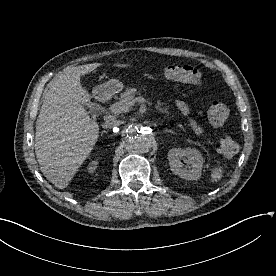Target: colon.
<instances>
[{
    "mask_svg": "<svg viewBox=\"0 0 276 276\" xmlns=\"http://www.w3.org/2000/svg\"><path fill=\"white\" fill-rule=\"evenodd\" d=\"M161 74L168 80L184 84L197 85L202 81L199 70L190 65L166 66L161 70ZM229 113L227 104L222 101H214L209 106L207 115L211 124L220 126L227 121ZM218 150L222 157L229 159L237 154L239 144L231 136H224L220 140Z\"/></svg>",
    "mask_w": 276,
    "mask_h": 276,
    "instance_id": "obj_1",
    "label": "colon"
}]
</instances>
